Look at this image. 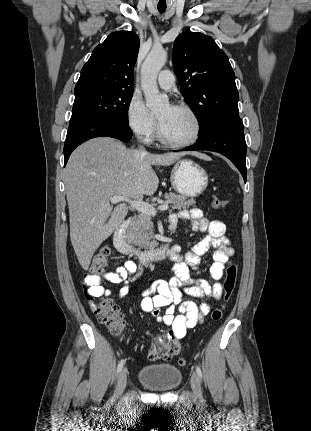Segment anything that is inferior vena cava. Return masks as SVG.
<instances>
[{
    "mask_svg": "<svg viewBox=\"0 0 311 431\" xmlns=\"http://www.w3.org/2000/svg\"><path fill=\"white\" fill-rule=\"evenodd\" d=\"M139 148H140V150H141L142 154H146V152H145V148H143V146H139Z\"/></svg>",
    "mask_w": 311,
    "mask_h": 431,
    "instance_id": "obj_1",
    "label": "inferior vena cava"
}]
</instances>
